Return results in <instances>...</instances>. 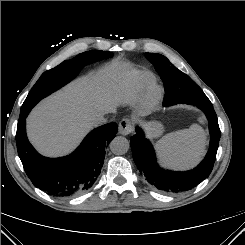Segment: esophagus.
I'll list each match as a JSON object with an SVG mask.
<instances>
[{"label":"esophagus","instance_id":"34e87169","mask_svg":"<svg viewBox=\"0 0 245 245\" xmlns=\"http://www.w3.org/2000/svg\"><path fill=\"white\" fill-rule=\"evenodd\" d=\"M133 131V124L129 119H122L118 126V132L121 135H129Z\"/></svg>","mask_w":245,"mask_h":245}]
</instances>
